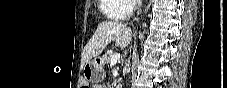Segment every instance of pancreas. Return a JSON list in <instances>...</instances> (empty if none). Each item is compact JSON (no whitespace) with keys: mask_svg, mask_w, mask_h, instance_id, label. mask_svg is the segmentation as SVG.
<instances>
[{"mask_svg":"<svg viewBox=\"0 0 227 88\" xmlns=\"http://www.w3.org/2000/svg\"><path fill=\"white\" fill-rule=\"evenodd\" d=\"M111 57H112V54H105L103 56V59H104L105 63L109 64L110 61H111Z\"/></svg>","mask_w":227,"mask_h":88,"instance_id":"obj_1","label":"pancreas"}]
</instances>
